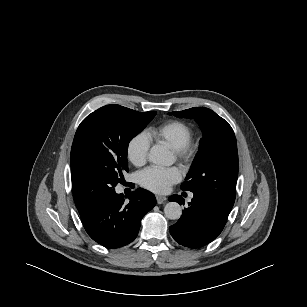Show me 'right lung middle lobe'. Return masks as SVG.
<instances>
[{"label": "right lung middle lobe", "mask_w": 307, "mask_h": 307, "mask_svg": "<svg viewBox=\"0 0 307 307\" xmlns=\"http://www.w3.org/2000/svg\"><path fill=\"white\" fill-rule=\"evenodd\" d=\"M156 113L106 105L81 122L70 157L72 190L78 209L92 206L122 183L123 174L128 172V144Z\"/></svg>", "instance_id": "dd1d6c3e"}]
</instances>
